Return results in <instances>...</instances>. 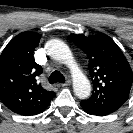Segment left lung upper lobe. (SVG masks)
<instances>
[{
	"label": "left lung upper lobe",
	"instance_id": "5c2ea615",
	"mask_svg": "<svg viewBox=\"0 0 133 133\" xmlns=\"http://www.w3.org/2000/svg\"><path fill=\"white\" fill-rule=\"evenodd\" d=\"M71 39L87 54L93 80V94L82 101L95 108L115 112L128 99L133 81V73L124 54L103 33L88 37L71 34Z\"/></svg>",
	"mask_w": 133,
	"mask_h": 133
}]
</instances>
